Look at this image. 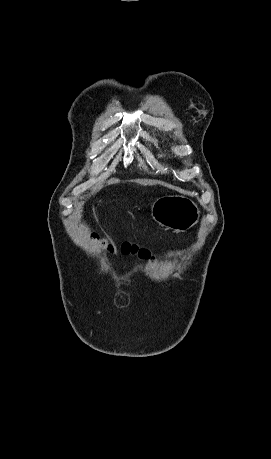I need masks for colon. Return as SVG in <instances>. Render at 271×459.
Here are the masks:
<instances>
[{"label":"colon","mask_w":271,"mask_h":459,"mask_svg":"<svg viewBox=\"0 0 271 459\" xmlns=\"http://www.w3.org/2000/svg\"><path fill=\"white\" fill-rule=\"evenodd\" d=\"M98 236L93 234V238L96 239ZM114 250L113 248H111ZM120 251L124 255H138L141 258H146L149 256V251L144 248H139L138 246L131 244L129 242H123L120 246Z\"/></svg>","instance_id":"colon-1"}]
</instances>
